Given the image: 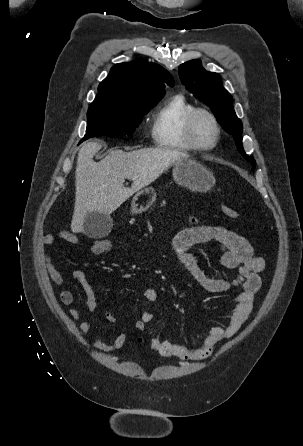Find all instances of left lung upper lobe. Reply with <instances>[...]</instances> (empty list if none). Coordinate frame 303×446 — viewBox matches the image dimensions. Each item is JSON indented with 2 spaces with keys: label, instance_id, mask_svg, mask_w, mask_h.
Segmentation results:
<instances>
[{
  "label": "left lung upper lobe",
  "instance_id": "1",
  "mask_svg": "<svg viewBox=\"0 0 303 446\" xmlns=\"http://www.w3.org/2000/svg\"><path fill=\"white\" fill-rule=\"evenodd\" d=\"M178 72L187 90L210 107L224 130L234 135L239 152L251 162L254 169L256 165L254 158L248 156L243 149L240 135L243 130L242 122L235 114L232 97L222 86L220 76L207 72L197 59L181 64Z\"/></svg>",
  "mask_w": 303,
  "mask_h": 446
}]
</instances>
